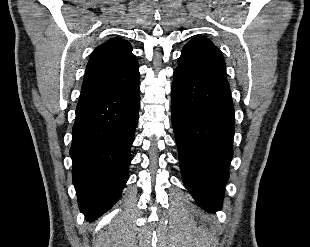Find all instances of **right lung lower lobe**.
<instances>
[{
  "instance_id": "98d812e1",
  "label": "right lung lower lobe",
  "mask_w": 310,
  "mask_h": 247,
  "mask_svg": "<svg viewBox=\"0 0 310 247\" xmlns=\"http://www.w3.org/2000/svg\"><path fill=\"white\" fill-rule=\"evenodd\" d=\"M139 92L137 82L127 88L80 95L70 155L79 208L89 221L119 199L127 181Z\"/></svg>"
}]
</instances>
